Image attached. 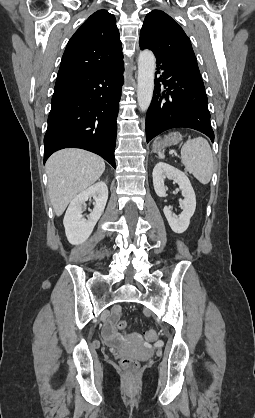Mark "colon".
<instances>
[{
  "mask_svg": "<svg viewBox=\"0 0 255 418\" xmlns=\"http://www.w3.org/2000/svg\"><path fill=\"white\" fill-rule=\"evenodd\" d=\"M119 319L120 317H118L116 320ZM118 327L120 330H124L126 327V322L124 320H119ZM156 336L157 334L154 330H150L145 334V337L148 341H153L156 338ZM120 366L125 372L129 374H134L139 368V362L138 360L132 357H123L120 359Z\"/></svg>",
  "mask_w": 255,
  "mask_h": 418,
  "instance_id": "5ec220e1",
  "label": "colon"
}]
</instances>
